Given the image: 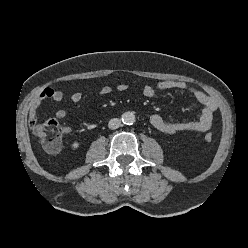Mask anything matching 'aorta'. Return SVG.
Here are the masks:
<instances>
[{
	"label": "aorta",
	"instance_id": "obj_1",
	"mask_svg": "<svg viewBox=\"0 0 248 248\" xmlns=\"http://www.w3.org/2000/svg\"><path fill=\"white\" fill-rule=\"evenodd\" d=\"M121 119H122L123 124L132 125L135 122V115L134 113L128 111V112L123 113Z\"/></svg>",
	"mask_w": 248,
	"mask_h": 248
}]
</instances>
